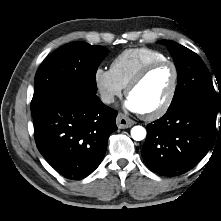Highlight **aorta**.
Instances as JSON below:
<instances>
[{
	"label": "aorta",
	"instance_id": "762f6f07",
	"mask_svg": "<svg viewBox=\"0 0 221 221\" xmlns=\"http://www.w3.org/2000/svg\"><path fill=\"white\" fill-rule=\"evenodd\" d=\"M131 137L136 141H141L146 137V130L142 126H134L131 129Z\"/></svg>",
	"mask_w": 221,
	"mask_h": 221
}]
</instances>
